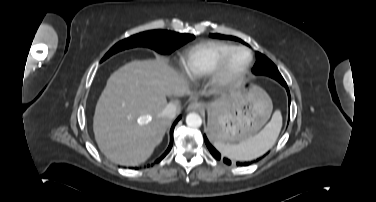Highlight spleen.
Wrapping results in <instances>:
<instances>
[{"mask_svg": "<svg viewBox=\"0 0 376 202\" xmlns=\"http://www.w3.org/2000/svg\"><path fill=\"white\" fill-rule=\"evenodd\" d=\"M282 127V115L275 111L271 121L255 136L238 144L214 142L215 148L232 160L247 161L260 157L276 142Z\"/></svg>", "mask_w": 376, "mask_h": 202, "instance_id": "3e777b00", "label": "spleen"}]
</instances>
